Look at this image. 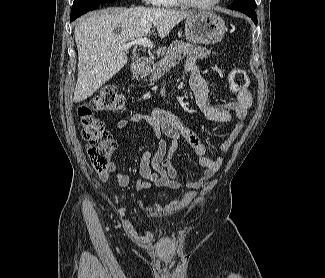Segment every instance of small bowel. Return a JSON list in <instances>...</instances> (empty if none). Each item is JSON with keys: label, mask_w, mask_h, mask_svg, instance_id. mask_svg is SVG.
Here are the masks:
<instances>
[{"label": "small bowel", "mask_w": 325, "mask_h": 278, "mask_svg": "<svg viewBox=\"0 0 325 278\" xmlns=\"http://www.w3.org/2000/svg\"><path fill=\"white\" fill-rule=\"evenodd\" d=\"M186 70L190 76L189 83L194 94L195 104L209 122L226 123L234 118L238 120L227 139L220 145L221 151H229L243 128V121L252 104V95L249 89L246 87L241 89L236 93V98L233 101L223 104H210L208 102V87L201 76L196 58H187ZM161 95L168 102L165 88L161 89ZM140 122H146L154 129L158 144L154 152L145 151L142 154L139 163L141 178L135 181V187L138 190L149 189L152 186L172 188L181 186L184 178L180 177L171 164L175 151L181 145L190 149L198 157L199 165L202 168V177L197 181L188 182L186 184L188 188L196 190L204 187L219 169L222 157L207 156L206 146L198 135L185 126L173 111L166 108H154L147 114L134 113L117 121L116 127L120 132H125ZM167 139L171 141L170 147L167 146ZM112 174L116 175L117 182L121 187L130 185V176L127 173L120 172L113 161L109 162L105 171L99 173V178L101 182L108 183Z\"/></svg>", "instance_id": "obj_1"}]
</instances>
